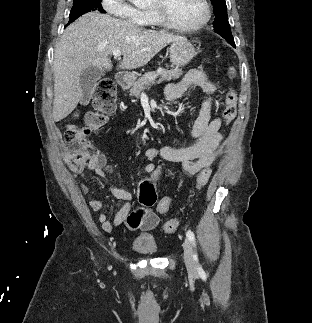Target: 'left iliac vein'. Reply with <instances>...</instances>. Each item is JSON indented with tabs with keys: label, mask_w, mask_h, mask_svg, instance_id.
<instances>
[{
	"label": "left iliac vein",
	"mask_w": 312,
	"mask_h": 323,
	"mask_svg": "<svg viewBox=\"0 0 312 323\" xmlns=\"http://www.w3.org/2000/svg\"><path fill=\"white\" fill-rule=\"evenodd\" d=\"M183 248H184V260H185L187 269L190 271H195L196 266H195L193 248L188 239H185L183 243Z\"/></svg>",
	"instance_id": "obj_1"
}]
</instances>
